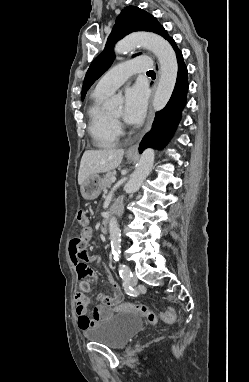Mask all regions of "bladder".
Listing matches in <instances>:
<instances>
[{"mask_svg":"<svg viewBox=\"0 0 249 382\" xmlns=\"http://www.w3.org/2000/svg\"><path fill=\"white\" fill-rule=\"evenodd\" d=\"M143 325V319L137 314H115L87 329L85 337L89 341L119 349L138 334Z\"/></svg>","mask_w":249,"mask_h":382,"instance_id":"bladder-1","label":"bladder"}]
</instances>
